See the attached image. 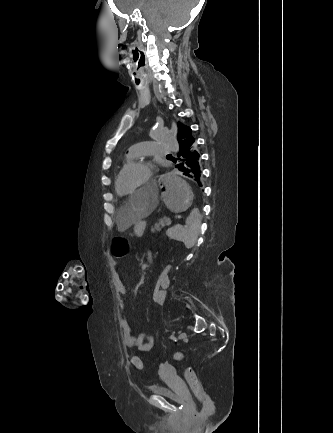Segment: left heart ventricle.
Instances as JSON below:
<instances>
[{"label":"left heart ventricle","instance_id":"b2bd125f","mask_svg":"<svg viewBox=\"0 0 333 433\" xmlns=\"http://www.w3.org/2000/svg\"><path fill=\"white\" fill-rule=\"evenodd\" d=\"M148 169L135 167L127 172L120 179V190L123 193L134 191L147 177Z\"/></svg>","mask_w":333,"mask_h":433}]
</instances>
